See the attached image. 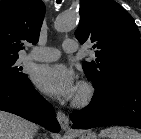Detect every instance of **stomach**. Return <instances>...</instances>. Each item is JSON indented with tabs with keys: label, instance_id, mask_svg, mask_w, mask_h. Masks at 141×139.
<instances>
[{
	"label": "stomach",
	"instance_id": "obj_1",
	"mask_svg": "<svg viewBox=\"0 0 141 139\" xmlns=\"http://www.w3.org/2000/svg\"><path fill=\"white\" fill-rule=\"evenodd\" d=\"M79 139H97V136L92 131H85V132L81 133Z\"/></svg>",
	"mask_w": 141,
	"mask_h": 139
}]
</instances>
